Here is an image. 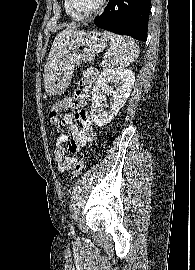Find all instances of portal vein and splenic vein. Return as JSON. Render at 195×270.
Listing matches in <instances>:
<instances>
[{"mask_svg":"<svg viewBox=\"0 0 195 270\" xmlns=\"http://www.w3.org/2000/svg\"><path fill=\"white\" fill-rule=\"evenodd\" d=\"M105 58H110V54H105Z\"/></svg>","mask_w":195,"mask_h":270,"instance_id":"portal-vein-and-splenic-vein-1","label":"portal vein and splenic vein"}]
</instances>
